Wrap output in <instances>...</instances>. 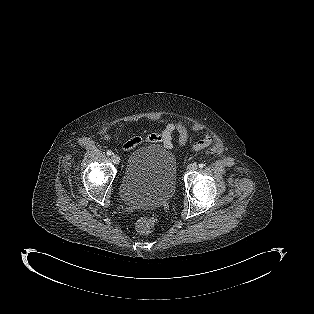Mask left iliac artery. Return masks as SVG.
Segmentation results:
<instances>
[{"label": "left iliac artery", "instance_id": "1", "mask_svg": "<svg viewBox=\"0 0 314 314\" xmlns=\"http://www.w3.org/2000/svg\"><path fill=\"white\" fill-rule=\"evenodd\" d=\"M205 166V164L201 163L199 164V168H203Z\"/></svg>", "mask_w": 314, "mask_h": 314}]
</instances>
